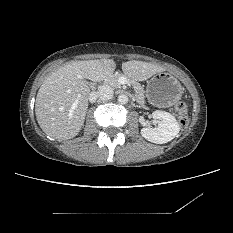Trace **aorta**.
<instances>
[{"instance_id":"aorta-1","label":"aorta","mask_w":233,"mask_h":233,"mask_svg":"<svg viewBox=\"0 0 233 233\" xmlns=\"http://www.w3.org/2000/svg\"><path fill=\"white\" fill-rule=\"evenodd\" d=\"M128 100H129V98H128V96H127L126 94H120V95L118 96V102H119L120 104H127V103H128Z\"/></svg>"}]
</instances>
